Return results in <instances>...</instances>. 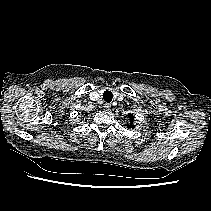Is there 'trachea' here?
Listing matches in <instances>:
<instances>
[{"label": "trachea", "mask_w": 211, "mask_h": 211, "mask_svg": "<svg viewBox=\"0 0 211 211\" xmlns=\"http://www.w3.org/2000/svg\"><path fill=\"white\" fill-rule=\"evenodd\" d=\"M103 99L105 102L107 103H110L113 99V94L111 91H108L106 90L104 93H103Z\"/></svg>", "instance_id": "3493384b"}]
</instances>
